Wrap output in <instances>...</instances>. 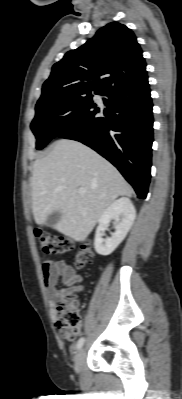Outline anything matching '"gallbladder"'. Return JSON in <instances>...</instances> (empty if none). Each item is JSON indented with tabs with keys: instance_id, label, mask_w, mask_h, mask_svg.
I'll use <instances>...</instances> for the list:
<instances>
[{
	"instance_id": "bac80fb5",
	"label": "gallbladder",
	"mask_w": 182,
	"mask_h": 399,
	"mask_svg": "<svg viewBox=\"0 0 182 399\" xmlns=\"http://www.w3.org/2000/svg\"><path fill=\"white\" fill-rule=\"evenodd\" d=\"M61 213L59 211L52 212L46 219L48 226H54L60 219Z\"/></svg>"
}]
</instances>
